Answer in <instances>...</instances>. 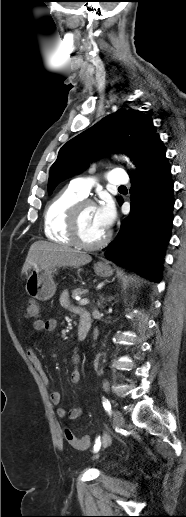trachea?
<instances>
[{"mask_svg":"<svg viewBox=\"0 0 186 517\" xmlns=\"http://www.w3.org/2000/svg\"><path fill=\"white\" fill-rule=\"evenodd\" d=\"M119 188H126L125 186H119Z\"/></svg>","mask_w":186,"mask_h":517,"instance_id":"obj_1","label":"trachea"}]
</instances>
